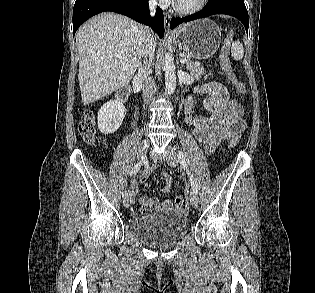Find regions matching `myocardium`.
Masks as SVG:
<instances>
[{
    "label": "myocardium",
    "instance_id": "obj_1",
    "mask_svg": "<svg viewBox=\"0 0 315 293\" xmlns=\"http://www.w3.org/2000/svg\"><path fill=\"white\" fill-rule=\"evenodd\" d=\"M208 3V0H199V2L192 7H182L180 5H178L175 1H173V8L176 12L180 13V14H194L197 13L199 11H201Z\"/></svg>",
    "mask_w": 315,
    "mask_h": 293
}]
</instances>
